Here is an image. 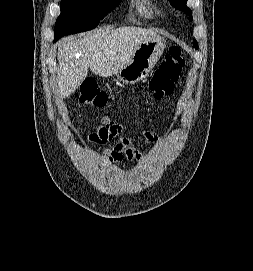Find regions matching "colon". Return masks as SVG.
<instances>
[{
  "mask_svg": "<svg viewBox=\"0 0 253 271\" xmlns=\"http://www.w3.org/2000/svg\"><path fill=\"white\" fill-rule=\"evenodd\" d=\"M183 65L184 61L181 57L180 48L177 46L170 47L148 83L149 95L155 100H160L170 94ZM79 100L83 104L101 107L107 103L108 96L98 90L93 79L87 78L81 84Z\"/></svg>",
  "mask_w": 253,
  "mask_h": 271,
  "instance_id": "obj_1",
  "label": "colon"
}]
</instances>
